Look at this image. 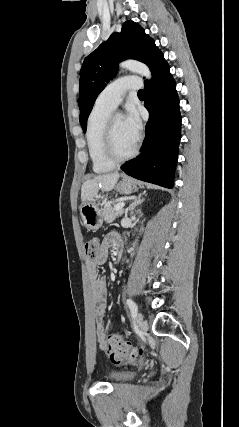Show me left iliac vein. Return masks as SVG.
I'll return each instance as SVG.
<instances>
[{
	"mask_svg": "<svg viewBox=\"0 0 239 427\" xmlns=\"http://www.w3.org/2000/svg\"><path fill=\"white\" fill-rule=\"evenodd\" d=\"M136 321H137V324L140 327L141 331L143 333H146L148 330V323H147V321L144 320V317L141 313H137Z\"/></svg>",
	"mask_w": 239,
	"mask_h": 427,
	"instance_id": "1",
	"label": "left iliac vein"
}]
</instances>
